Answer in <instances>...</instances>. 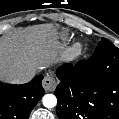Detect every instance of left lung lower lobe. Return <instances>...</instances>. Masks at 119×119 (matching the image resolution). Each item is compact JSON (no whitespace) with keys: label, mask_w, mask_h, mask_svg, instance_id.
Here are the masks:
<instances>
[{"label":"left lung lower lobe","mask_w":119,"mask_h":119,"mask_svg":"<svg viewBox=\"0 0 119 119\" xmlns=\"http://www.w3.org/2000/svg\"><path fill=\"white\" fill-rule=\"evenodd\" d=\"M59 119H119V48L102 38L92 57L56 71Z\"/></svg>","instance_id":"1"}]
</instances>
